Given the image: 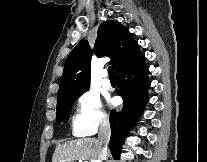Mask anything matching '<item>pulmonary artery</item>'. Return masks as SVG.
Listing matches in <instances>:
<instances>
[{"mask_svg":"<svg viewBox=\"0 0 207 162\" xmlns=\"http://www.w3.org/2000/svg\"><path fill=\"white\" fill-rule=\"evenodd\" d=\"M102 76H103V80H102V87L104 88V89H106V90H109V89H111V82H110V80L107 78V73H106V71H104L103 73H102Z\"/></svg>","mask_w":207,"mask_h":162,"instance_id":"1","label":"pulmonary artery"}]
</instances>
